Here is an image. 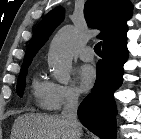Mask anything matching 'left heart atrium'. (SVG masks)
Here are the masks:
<instances>
[{
	"label": "left heart atrium",
	"mask_w": 141,
	"mask_h": 139,
	"mask_svg": "<svg viewBox=\"0 0 141 139\" xmlns=\"http://www.w3.org/2000/svg\"><path fill=\"white\" fill-rule=\"evenodd\" d=\"M96 71L90 65H83L77 71V80L82 92L90 91L96 82Z\"/></svg>",
	"instance_id": "39dd6f15"
}]
</instances>
